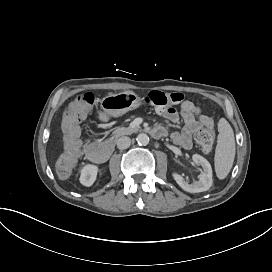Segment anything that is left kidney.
I'll return each mask as SVG.
<instances>
[{
	"instance_id": "obj_1",
	"label": "left kidney",
	"mask_w": 272,
	"mask_h": 272,
	"mask_svg": "<svg viewBox=\"0 0 272 272\" xmlns=\"http://www.w3.org/2000/svg\"><path fill=\"white\" fill-rule=\"evenodd\" d=\"M193 161L200 165L203 169L202 174L197 182L189 184L182 175L176 174L175 179L177 183L186 191L196 193L203 192L212 185V168L210 163L200 155H193Z\"/></svg>"
}]
</instances>
